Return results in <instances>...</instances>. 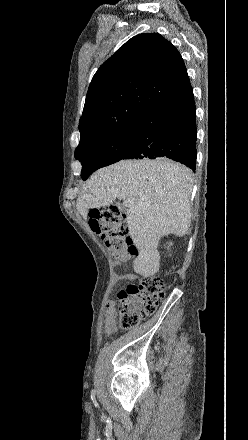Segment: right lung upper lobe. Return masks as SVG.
Masks as SVG:
<instances>
[{
  "instance_id": "1",
  "label": "right lung upper lobe",
  "mask_w": 248,
  "mask_h": 440,
  "mask_svg": "<svg viewBox=\"0 0 248 440\" xmlns=\"http://www.w3.org/2000/svg\"><path fill=\"white\" fill-rule=\"evenodd\" d=\"M190 90L185 64L171 42L158 33L131 38L91 81L76 149L127 127L154 106Z\"/></svg>"
}]
</instances>
